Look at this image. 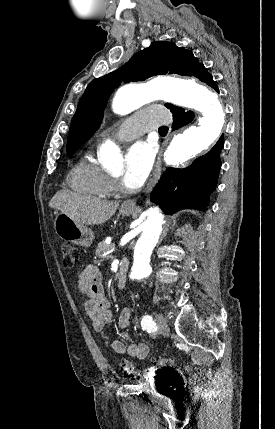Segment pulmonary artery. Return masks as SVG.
<instances>
[{
    "instance_id": "obj_1",
    "label": "pulmonary artery",
    "mask_w": 275,
    "mask_h": 429,
    "mask_svg": "<svg viewBox=\"0 0 275 429\" xmlns=\"http://www.w3.org/2000/svg\"><path fill=\"white\" fill-rule=\"evenodd\" d=\"M170 114L163 107H148L131 116L114 134L120 141L135 139L146 131L166 125Z\"/></svg>"
}]
</instances>
